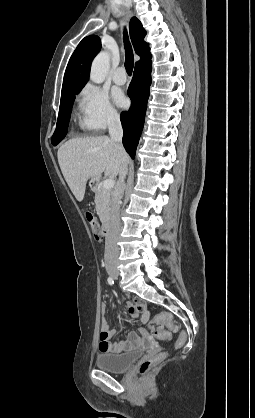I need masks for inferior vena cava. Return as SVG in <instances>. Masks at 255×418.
Wrapping results in <instances>:
<instances>
[{"mask_svg": "<svg viewBox=\"0 0 255 418\" xmlns=\"http://www.w3.org/2000/svg\"><path fill=\"white\" fill-rule=\"evenodd\" d=\"M108 130L111 140L121 145L123 129L120 116L117 113H111L108 116ZM127 165L128 162L126 159H122L119 171V180L112 195L111 214L105 238L104 259L106 262L117 260L119 254L117 239L120 233V202L125 188L124 180L127 174Z\"/></svg>", "mask_w": 255, "mask_h": 418, "instance_id": "inferior-vena-cava-1", "label": "inferior vena cava"}]
</instances>
